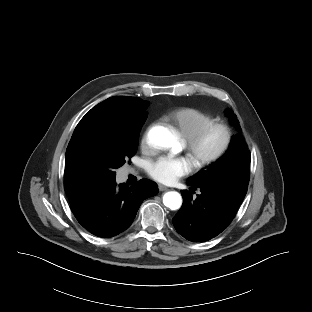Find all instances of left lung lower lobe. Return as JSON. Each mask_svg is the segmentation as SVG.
Returning a JSON list of instances; mask_svg holds the SVG:
<instances>
[{
  "mask_svg": "<svg viewBox=\"0 0 312 312\" xmlns=\"http://www.w3.org/2000/svg\"><path fill=\"white\" fill-rule=\"evenodd\" d=\"M199 187L195 201L189 191H182L183 205L172 219L175 229L189 241L204 242L220 234L232 221L241 202L225 189L211 185Z\"/></svg>",
  "mask_w": 312,
  "mask_h": 312,
  "instance_id": "0a47b994",
  "label": "left lung lower lobe"
}]
</instances>
